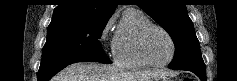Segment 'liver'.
Instances as JSON below:
<instances>
[{
    "label": "liver",
    "mask_w": 237,
    "mask_h": 81,
    "mask_svg": "<svg viewBox=\"0 0 237 81\" xmlns=\"http://www.w3.org/2000/svg\"><path fill=\"white\" fill-rule=\"evenodd\" d=\"M164 75L161 70L124 72L111 65L79 62L63 69L54 81H151Z\"/></svg>",
    "instance_id": "obj_1"
}]
</instances>
